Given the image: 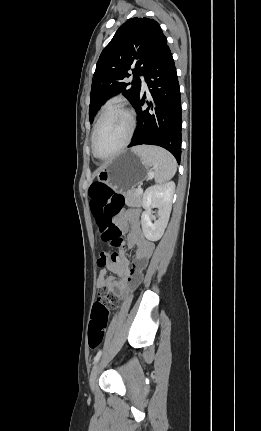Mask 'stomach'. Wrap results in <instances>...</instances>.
I'll list each match as a JSON object with an SVG mask.
<instances>
[{
	"instance_id": "obj_1",
	"label": "stomach",
	"mask_w": 261,
	"mask_h": 431,
	"mask_svg": "<svg viewBox=\"0 0 261 431\" xmlns=\"http://www.w3.org/2000/svg\"><path fill=\"white\" fill-rule=\"evenodd\" d=\"M148 167L137 152L126 150L109 160L98 171L97 178L116 191L126 192L147 178Z\"/></svg>"
}]
</instances>
